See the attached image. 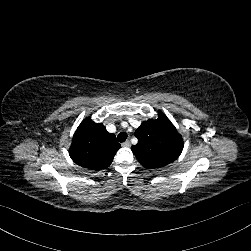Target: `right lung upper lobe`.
I'll use <instances>...</instances> for the list:
<instances>
[{
	"mask_svg": "<svg viewBox=\"0 0 251 251\" xmlns=\"http://www.w3.org/2000/svg\"><path fill=\"white\" fill-rule=\"evenodd\" d=\"M119 148L114 134L87 117L73 136L69 154L77 165L97 171L110 166Z\"/></svg>",
	"mask_w": 251,
	"mask_h": 251,
	"instance_id": "1",
	"label": "right lung upper lobe"
}]
</instances>
